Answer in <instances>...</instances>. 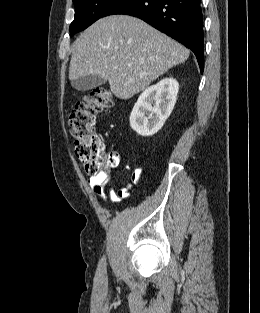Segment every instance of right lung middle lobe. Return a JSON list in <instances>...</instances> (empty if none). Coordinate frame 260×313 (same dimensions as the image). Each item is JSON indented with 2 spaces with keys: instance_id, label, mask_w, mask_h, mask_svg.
Returning a JSON list of instances; mask_svg holds the SVG:
<instances>
[{
  "instance_id": "right-lung-middle-lobe-1",
  "label": "right lung middle lobe",
  "mask_w": 260,
  "mask_h": 313,
  "mask_svg": "<svg viewBox=\"0 0 260 313\" xmlns=\"http://www.w3.org/2000/svg\"><path fill=\"white\" fill-rule=\"evenodd\" d=\"M119 0H73L75 6V18L69 31L73 36L90 26Z\"/></svg>"
}]
</instances>
